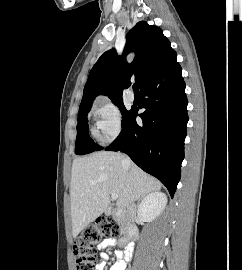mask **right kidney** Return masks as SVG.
Segmentation results:
<instances>
[{"mask_svg":"<svg viewBox=\"0 0 242 270\" xmlns=\"http://www.w3.org/2000/svg\"><path fill=\"white\" fill-rule=\"evenodd\" d=\"M167 204V197L162 192H151L146 195L140 205L138 206V216L146 221L151 222L158 217L165 209Z\"/></svg>","mask_w":242,"mask_h":270,"instance_id":"right-kidney-1","label":"right kidney"}]
</instances>
